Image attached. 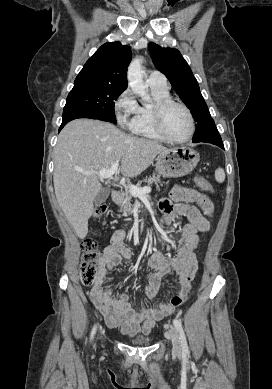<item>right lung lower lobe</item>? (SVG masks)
Returning <instances> with one entry per match:
<instances>
[{"instance_id":"right-lung-lower-lobe-1","label":"right lung lower lobe","mask_w":272,"mask_h":389,"mask_svg":"<svg viewBox=\"0 0 272 389\" xmlns=\"http://www.w3.org/2000/svg\"><path fill=\"white\" fill-rule=\"evenodd\" d=\"M77 118H91V119H96L94 117H91V116H88L86 114H82V113H69V114H65L63 115V121H62V124L59 128V131L71 120H74V119H77Z\"/></svg>"}]
</instances>
